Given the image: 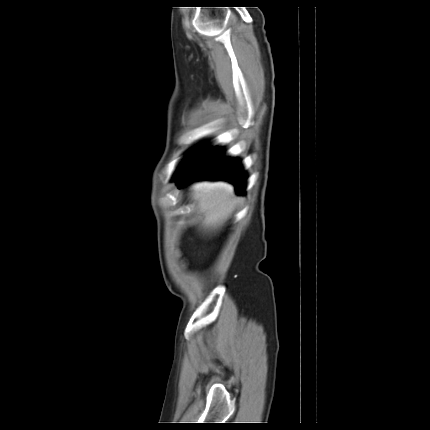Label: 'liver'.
Wrapping results in <instances>:
<instances>
[{
  "label": "liver",
  "mask_w": 430,
  "mask_h": 430,
  "mask_svg": "<svg viewBox=\"0 0 430 430\" xmlns=\"http://www.w3.org/2000/svg\"><path fill=\"white\" fill-rule=\"evenodd\" d=\"M194 198L204 214L202 225L205 228L221 226L232 214L237 205L232 185L224 182L200 183L194 188Z\"/></svg>",
  "instance_id": "1"
}]
</instances>
